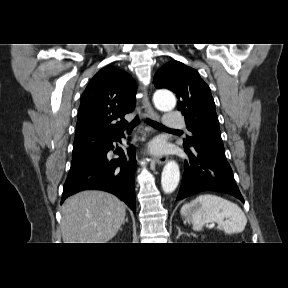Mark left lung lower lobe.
<instances>
[{
	"label": "left lung lower lobe",
	"mask_w": 288,
	"mask_h": 288,
	"mask_svg": "<svg viewBox=\"0 0 288 288\" xmlns=\"http://www.w3.org/2000/svg\"><path fill=\"white\" fill-rule=\"evenodd\" d=\"M185 152L189 160L184 163L185 171L177 200L201 191L214 190L228 193L244 202L225 157L202 146L185 148Z\"/></svg>",
	"instance_id": "left-lung-lower-lobe-1"
}]
</instances>
